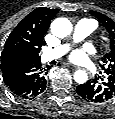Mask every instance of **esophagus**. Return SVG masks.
<instances>
[{"mask_svg": "<svg viewBox=\"0 0 115 119\" xmlns=\"http://www.w3.org/2000/svg\"><path fill=\"white\" fill-rule=\"evenodd\" d=\"M71 66L75 69V70H78L80 67L79 66H76V65H72Z\"/></svg>", "mask_w": 115, "mask_h": 119, "instance_id": "obj_1", "label": "esophagus"}]
</instances>
